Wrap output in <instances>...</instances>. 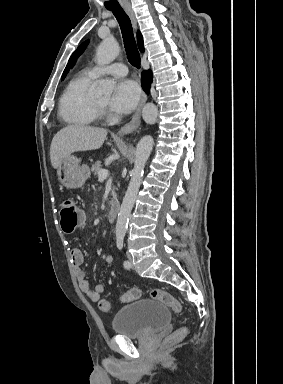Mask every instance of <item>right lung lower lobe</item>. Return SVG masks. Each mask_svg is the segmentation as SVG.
Here are the masks:
<instances>
[{
	"label": "right lung lower lobe",
	"instance_id": "obj_1",
	"mask_svg": "<svg viewBox=\"0 0 283 384\" xmlns=\"http://www.w3.org/2000/svg\"><path fill=\"white\" fill-rule=\"evenodd\" d=\"M151 80H152V74L150 71H143L142 72V77H141V83H142V87L143 89L149 93V90H150V83H151Z\"/></svg>",
	"mask_w": 283,
	"mask_h": 384
}]
</instances>
